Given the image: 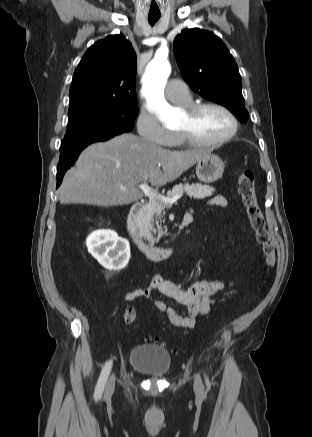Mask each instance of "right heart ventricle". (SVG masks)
I'll return each mask as SVG.
<instances>
[{
  "label": "right heart ventricle",
  "instance_id": "e07e8e85",
  "mask_svg": "<svg viewBox=\"0 0 312 437\" xmlns=\"http://www.w3.org/2000/svg\"><path fill=\"white\" fill-rule=\"evenodd\" d=\"M188 105H186V106H188ZM181 144H183L182 139L180 138L179 134H175L174 140H173L171 145H181Z\"/></svg>",
  "mask_w": 312,
  "mask_h": 437
}]
</instances>
